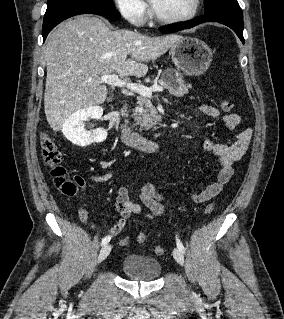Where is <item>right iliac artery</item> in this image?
<instances>
[{
	"label": "right iliac artery",
	"mask_w": 284,
	"mask_h": 319,
	"mask_svg": "<svg viewBox=\"0 0 284 319\" xmlns=\"http://www.w3.org/2000/svg\"><path fill=\"white\" fill-rule=\"evenodd\" d=\"M111 240V236H105L101 242V245H106Z\"/></svg>",
	"instance_id": "obj_1"
}]
</instances>
